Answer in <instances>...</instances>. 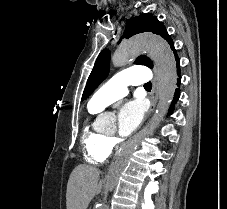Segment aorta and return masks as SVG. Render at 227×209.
Here are the masks:
<instances>
[{
  "instance_id": "1",
  "label": "aorta",
  "mask_w": 227,
  "mask_h": 209,
  "mask_svg": "<svg viewBox=\"0 0 227 209\" xmlns=\"http://www.w3.org/2000/svg\"><path fill=\"white\" fill-rule=\"evenodd\" d=\"M143 51L149 52L155 62L159 74V113L154 116L152 124L145 135H149L158 126L160 120L168 111L170 102L172 101L177 83V67L174 54L169 44L162 38L151 35L135 36L123 43L117 48L113 54L111 61L116 67H121L130 61L131 58L137 56ZM137 143L123 146L114 158L108 169L107 180L105 183L106 191H113L117 185L118 179L127 165L132 153L136 149ZM106 205H102L100 209H106Z\"/></svg>"
}]
</instances>
